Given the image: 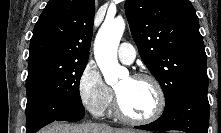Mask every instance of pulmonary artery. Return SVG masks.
I'll return each instance as SVG.
<instances>
[{
    "instance_id": "e3ab8cb5",
    "label": "pulmonary artery",
    "mask_w": 221,
    "mask_h": 133,
    "mask_svg": "<svg viewBox=\"0 0 221 133\" xmlns=\"http://www.w3.org/2000/svg\"><path fill=\"white\" fill-rule=\"evenodd\" d=\"M136 51L129 43H122L118 49V58L122 63L131 64L135 60Z\"/></svg>"
}]
</instances>
